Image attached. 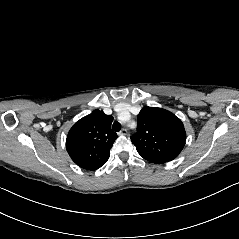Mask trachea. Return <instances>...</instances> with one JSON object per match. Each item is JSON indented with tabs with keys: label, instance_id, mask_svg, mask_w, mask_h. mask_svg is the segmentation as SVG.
<instances>
[{
	"label": "trachea",
	"instance_id": "trachea-1",
	"mask_svg": "<svg viewBox=\"0 0 239 239\" xmlns=\"http://www.w3.org/2000/svg\"><path fill=\"white\" fill-rule=\"evenodd\" d=\"M112 129L116 132H119L121 130V124L117 121H115L112 125Z\"/></svg>",
	"mask_w": 239,
	"mask_h": 239
}]
</instances>
